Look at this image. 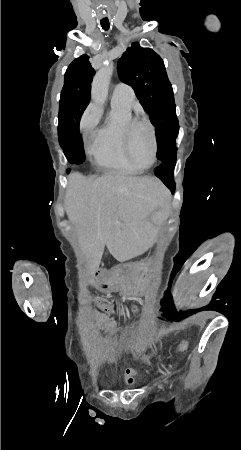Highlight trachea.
<instances>
[{
	"label": "trachea",
	"mask_w": 241,
	"mask_h": 450,
	"mask_svg": "<svg viewBox=\"0 0 241 450\" xmlns=\"http://www.w3.org/2000/svg\"><path fill=\"white\" fill-rule=\"evenodd\" d=\"M101 27L103 30H109L110 24L109 22H101Z\"/></svg>",
	"instance_id": "obj_1"
}]
</instances>
